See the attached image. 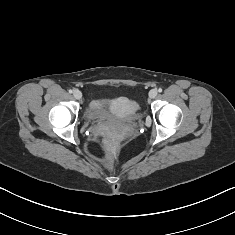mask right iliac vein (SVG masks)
I'll return each instance as SVG.
<instances>
[{"mask_svg":"<svg viewBox=\"0 0 235 235\" xmlns=\"http://www.w3.org/2000/svg\"><path fill=\"white\" fill-rule=\"evenodd\" d=\"M73 96L76 98V99H81L82 98V93H81V91H79V90H74L73 91Z\"/></svg>","mask_w":235,"mask_h":235,"instance_id":"obj_1","label":"right iliac vein"}]
</instances>
